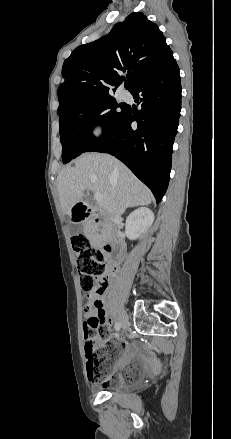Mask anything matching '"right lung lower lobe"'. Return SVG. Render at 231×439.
<instances>
[{
  "label": "right lung lower lobe",
  "instance_id": "obj_1",
  "mask_svg": "<svg viewBox=\"0 0 231 439\" xmlns=\"http://www.w3.org/2000/svg\"><path fill=\"white\" fill-rule=\"evenodd\" d=\"M181 90L179 67L172 57L130 91L142 109L134 112L127 107L119 121L85 151L109 153L121 160L151 189L157 204L169 184Z\"/></svg>",
  "mask_w": 231,
  "mask_h": 439
}]
</instances>
